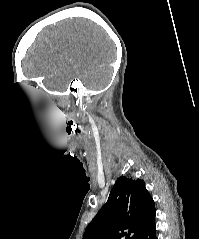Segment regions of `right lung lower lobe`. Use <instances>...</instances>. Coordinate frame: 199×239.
<instances>
[{"label":"right lung lower lobe","instance_id":"right-lung-lower-lobe-1","mask_svg":"<svg viewBox=\"0 0 199 239\" xmlns=\"http://www.w3.org/2000/svg\"><path fill=\"white\" fill-rule=\"evenodd\" d=\"M155 222L152 219L145 227L138 233L135 239H157L155 235Z\"/></svg>","mask_w":199,"mask_h":239}]
</instances>
